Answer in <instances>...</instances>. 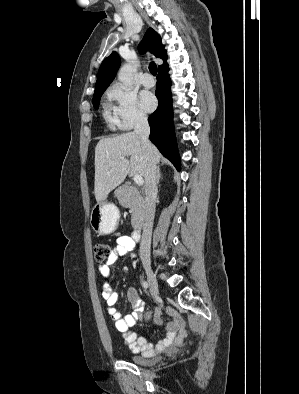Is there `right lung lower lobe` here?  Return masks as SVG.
I'll list each match as a JSON object with an SVG mask.
<instances>
[{
	"instance_id": "98d812e1",
	"label": "right lung lower lobe",
	"mask_w": 299,
	"mask_h": 394,
	"mask_svg": "<svg viewBox=\"0 0 299 394\" xmlns=\"http://www.w3.org/2000/svg\"><path fill=\"white\" fill-rule=\"evenodd\" d=\"M167 64L159 68L157 76L156 97L158 108L148 118L151 133L150 140L156 145L160 152L168 158L174 166L180 169V158L177 150L176 138L173 125V109L171 98V80L168 75Z\"/></svg>"
}]
</instances>
